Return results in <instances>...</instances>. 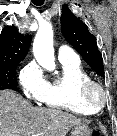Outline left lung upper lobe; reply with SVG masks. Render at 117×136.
Instances as JSON below:
<instances>
[{
  "mask_svg": "<svg viewBox=\"0 0 117 136\" xmlns=\"http://www.w3.org/2000/svg\"><path fill=\"white\" fill-rule=\"evenodd\" d=\"M61 30L65 39L81 54L89 66L100 76H104L102 55L96 38L85 23L76 17L67 5H63Z\"/></svg>",
  "mask_w": 117,
  "mask_h": 136,
  "instance_id": "5c2ea615",
  "label": "left lung upper lobe"
}]
</instances>
